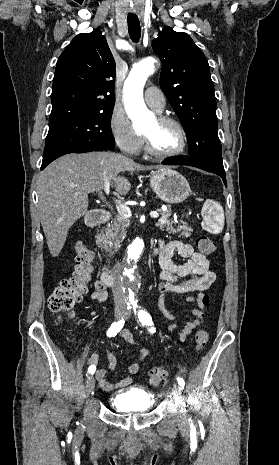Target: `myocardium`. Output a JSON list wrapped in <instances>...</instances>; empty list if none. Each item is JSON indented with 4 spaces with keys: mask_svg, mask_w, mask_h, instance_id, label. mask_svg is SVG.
I'll return each instance as SVG.
<instances>
[{
    "mask_svg": "<svg viewBox=\"0 0 279 465\" xmlns=\"http://www.w3.org/2000/svg\"><path fill=\"white\" fill-rule=\"evenodd\" d=\"M156 120L160 124H172V125H174L177 128L178 132H179L180 143H179V146L177 147V149H175L174 151H171V152H159V151L154 149L150 138L147 135L143 134V142H144V147H145L146 152L150 156H152L154 158H157V159H169V158H174V157H177V156L181 155L185 151L186 146H187V133H186V130H185L183 124L179 120H177V119H175L173 117H170V116H159Z\"/></svg>",
    "mask_w": 279,
    "mask_h": 465,
    "instance_id": "myocardium-1",
    "label": "myocardium"
}]
</instances>
